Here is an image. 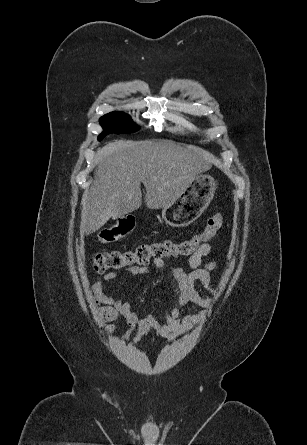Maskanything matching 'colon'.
<instances>
[{
    "label": "colon",
    "mask_w": 307,
    "mask_h": 445,
    "mask_svg": "<svg viewBox=\"0 0 307 445\" xmlns=\"http://www.w3.org/2000/svg\"><path fill=\"white\" fill-rule=\"evenodd\" d=\"M222 225L223 215L217 213L207 219L201 232L190 238L182 241L162 240L154 243H142L135 248L122 251L99 252L93 256L92 264L96 272L101 273L106 270L143 266L155 259L191 256L202 244L214 237ZM134 228V217L125 216L114 225L101 229L98 239L103 244H111L130 234Z\"/></svg>",
    "instance_id": "obj_1"
}]
</instances>
